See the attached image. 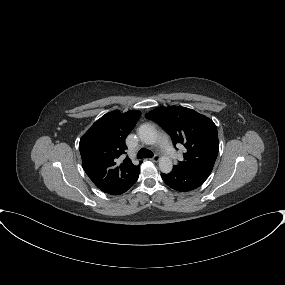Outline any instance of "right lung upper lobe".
Segmentation results:
<instances>
[{
	"label": "right lung upper lobe",
	"instance_id": "right-lung-upper-lobe-1",
	"mask_svg": "<svg viewBox=\"0 0 285 285\" xmlns=\"http://www.w3.org/2000/svg\"><path fill=\"white\" fill-rule=\"evenodd\" d=\"M140 115L136 110L109 112L98 119L80 139L83 168L92 182L105 193L120 190L139 176L141 162L134 165L126 157L121 163L119 158L127 148L125 138Z\"/></svg>",
	"mask_w": 285,
	"mask_h": 285
}]
</instances>
